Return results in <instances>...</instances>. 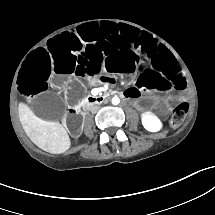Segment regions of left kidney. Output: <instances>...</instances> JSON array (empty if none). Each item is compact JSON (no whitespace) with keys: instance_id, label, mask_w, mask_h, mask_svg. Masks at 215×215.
I'll return each mask as SVG.
<instances>
[{"instance_id":"5707ae66","label":"left kidney","mask_w":215,"mask_h":215,"mask_svg":"<svg viewBox=\"0 0 215 215\" xmlns=\"http://www.w3.org/2000/svg\"><path fill=\"white\" fill-rule=\"evenodd\" d=\"M142 124L144 128L150 132H157L162 127V123L159 118L148 113H144L142 115Z\"/></svg>"}]
</instances>
